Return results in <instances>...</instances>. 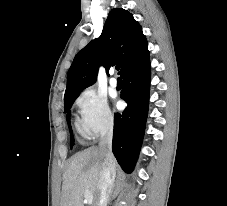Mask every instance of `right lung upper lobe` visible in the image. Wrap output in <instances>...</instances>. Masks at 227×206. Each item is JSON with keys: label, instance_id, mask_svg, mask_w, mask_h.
Returning a JSON list of instances; mask_svg holds the SVG:
<instances>
[{"label": "right lung upper lobe", "instance_id": "obj_1", "mask_svg": "<svg viewBox=\"0 0 227 206\" xmlns=\"http://www.w3.org/2000/svg\"><path fill=\"white\" fill-rule=\"evenodd\" d=\"M148 43L140 24L122 8L112 9L101 36L78 52L67 75L65 98L79 95L96 81L98 68L106 72L120 64L122 76L129 68L149 57Z\"/></svg>", "mask_w": 227, "mask_h": 206}]
</instances>
